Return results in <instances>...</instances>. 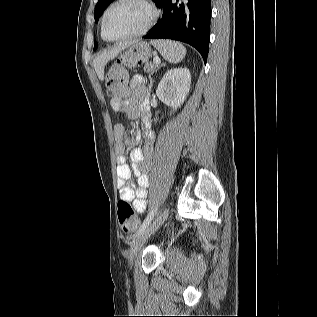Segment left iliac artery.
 Segmentation results:
<instances>
[{"label": "left iliac artery", "instance_id": "44dca946", "mask_svg": "<svg viewBox=\"0 0 317 317\" xmlns=\"http://www.w3.org/2000/svg\"><path fill=\"white\" fill-rule=\"evenodd\" d=\"M157 211V208L153 209L148 216L145 218V220L143 221L142 225L140 226L139 230L137 231V233L134 235V239L136 237H138L144 230L145 228L149 225V223L151 222V220L153 219L155 213Z\"/></svg>", "mask_w": 317, "mask_h": 317}]
</instances>
